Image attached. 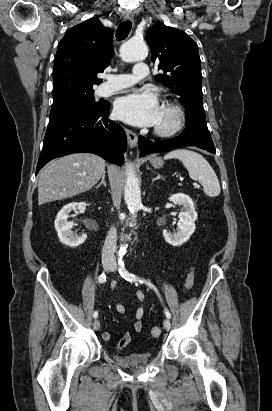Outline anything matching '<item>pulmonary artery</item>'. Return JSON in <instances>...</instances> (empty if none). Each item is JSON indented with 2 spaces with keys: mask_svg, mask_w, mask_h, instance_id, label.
I'll return each mask as SVG.
<instances>
[{
  "mask_svg": "<svg viewBox=\"0 0 272 411\" xmlns=\"http://www.w3.org/2000/svg\"><path fill=\"white\" fill-rule=\"evenodd\" d=\"M148 75V68L145 63H137L131 74H110L106 76L108 80L102 84L98 89L100 96H107L124 88L135 85L139 80L146 78Z\"/></svg>",
  "mask_w": 272,
  "mask_h": 411,
  "instance_id": "obj_1",
  "label": "pulmonary artery"
}]
</instances>
